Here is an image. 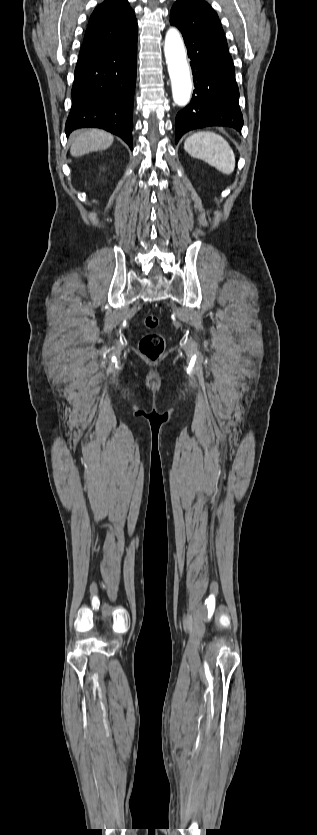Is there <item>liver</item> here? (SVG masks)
Here are the masks:
<instances>
[{"mask_svg": "<svg viewBox=\"0 0 317 835\" xmlns=\"http://www.w3.org/2000/svg\"><path fill=\"white\" fill-rule=\"evenodd\" d=\"M113 140V136L103 130H76L71 134L70 153L72 156L78 157L89 152L105 150L112 145Z\"/></svg>", "mask_w": 317, "mask_h": 835, "instance_id": "obj_1", "label": "liver"}]
</instances>
